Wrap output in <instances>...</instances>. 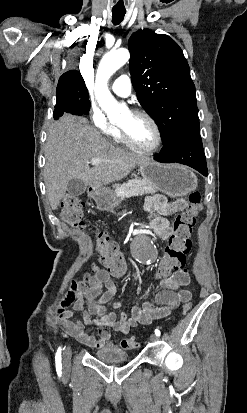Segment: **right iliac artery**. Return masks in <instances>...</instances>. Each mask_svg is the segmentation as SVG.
I'll return each mask as SVG.
<instances>
[{
  "mask_svg": "<svg viewBox=\"0 0 247 413\" xmlns=\"http://www.w3.org/2000/svg\"><path fill=\"white\" fill-rule=\"evenodd\" d=\"M55 362H56V371L58 376H61L62 374V363H61V347L58 348L55 356Z\"/></svg>",
  "mask_w": 247,
  "mask_h": 413,
  "instance_id": "82829eb1",
  "label": "right iliac artery"
}]
</instances>
